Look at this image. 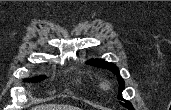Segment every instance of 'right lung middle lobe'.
<instances>
[{"label":"right lung middle lobe","instance_id":"obj_1","mask_svg":"<svg viewBox=\"0 0 171 110\" xmlns=\"http://www.w3.org/2000/svg\"><path fill=\"white\" fill-rule=\"evenodd\" d=\"M44 78H45V76H41V77L33 78V79H26L25 81H27V82H39V81H42Z\"/></svg>","mask_w":171,"mask_h":110}]
</instances>
